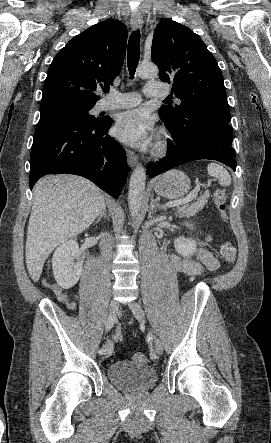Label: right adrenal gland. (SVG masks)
I'll return each mask as SVG.
<instances>
[{
    "instance_id": "1",
    "label": "right adrenal gland",
    "mask_w": 271,
    "mask_h": 443,
    "mask_svg": "<svg viewBox=\"0 0 271 443\" xmlns=\"http://www.w3.org/2000/svg\"><path fill=\"white\" fill-rule=\"evenodd\" d=\"M101 218H107V214H106V206H104V208H102L99 216H97V220L95 223L100 222Z\"/></svg>"
}]
</instances>
